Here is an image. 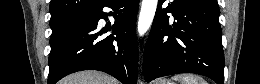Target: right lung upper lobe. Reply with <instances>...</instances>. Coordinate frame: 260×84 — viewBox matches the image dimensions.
<instances>
[{
  "mask_svg": "<svg viewBox=\"0 0 260 84\" xmlns=\"http://www.w3.org/2000/svg\"><path fill=\"white\" fill-rule=\"evenodd\" d=\"M103 0H51L50 27L56 28L93 12Z\"/></svg>",
  "mask_w": 260,
  "mask_h": 84,
  "instance_id": "cb5924a9",
  "label": "right lung upper lobe"
}]
</instances>
